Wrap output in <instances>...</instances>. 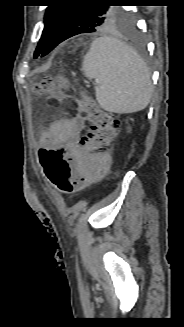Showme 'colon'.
Segmentation results:
<instances>
[{
  "mask_svg": "<svg viewBox=\"0 0 184 327\" xmlns=\"http://www.w3.org/2000/svg\"><path fill=\"white\" fill-rule=\"evenodd\" d=\"M71 89L70 83L62 77H45L34 84L33 91L37 95H52L62 90ZM78 110L89 122V127L80 141L75 159L80 169L74 173L70 148L42 149L39 154L40 163L48 181L61 193L71 194L79 189L88 174V164L105 153L113 144L119 129L117 117L101 109L90 97L80 94L77 98Z\"/></svg>",
  "mask_w": 184,
  "mask_h": 327,
  "instance_id": "1",
  "label": "colon"
}]
</instances>
